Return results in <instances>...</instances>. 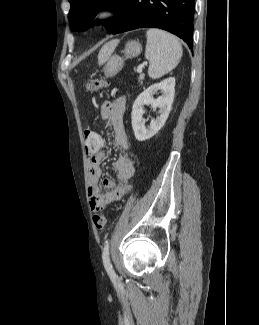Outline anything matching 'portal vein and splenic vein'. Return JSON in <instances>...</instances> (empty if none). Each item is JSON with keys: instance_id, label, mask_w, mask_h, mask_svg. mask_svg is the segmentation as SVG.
I'll return each instance as SVG.
<instances>
[{"instance_id": "1", "label": "portal vein and splenic vein", "mask_w": 259, "mask_h": 325, "mask_svg": "<svg viewBox=\"0 0 259 325\" xmlns=\"http://www.w3.org/2000/svg\"><path fill=\"white\" fill-rule=\"evenodd\" d=\"M144 64H140L139 66H138V68H137V71L138 72H141L142 71V69L144 68Z\"/></svg>"}]
</instances>
